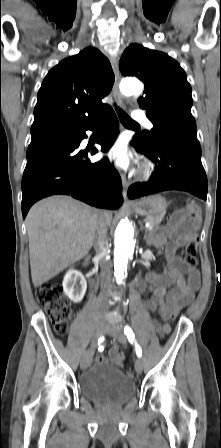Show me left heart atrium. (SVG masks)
I'll return each mask as SVG.
<instances>
[{"label":"left heart atrium","mask_w":221,"mask_h":448,"mask_svg":"<svg viewBox=\"0 0 221 448\" xmlns=\"http://www.w3.org/2000/svg\"><path fill=\"white\" fill-rule=\"evenodd\" d=\"M107 156L122 170H128L133 165V156L122 142L113 145L107 151Z\"/></svg>","instance_id":"1"}]
</instances>
